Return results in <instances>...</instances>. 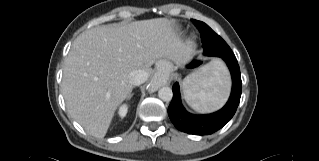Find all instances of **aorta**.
<instances>
[{
  "label": "aorta",
  "instance_id": "obj_1",
  "mask_svg": "<svg viewBox=\"0 0 319 161\" xmlns=\"http://www.w3.org/2000/svg\"><path fill=\"white\" fill-rule=\"evenodd\" d=\"M158 96L163 101H170L173 97V92L170 87H162L158 91Z\"/></svg>",
  "mask_w": 319,
  "mask_h": 161
}]
</instances>
